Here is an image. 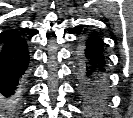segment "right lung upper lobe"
Returning a JSON list of instances; mask_svg holds the SVG:
<instances>
[{"label": "right lung upper lobe", "mask_w": 133, "mask_h": 118, "mask_svg": "<svg viewBox=\"0 0 133 118\" xmlns=\"http://www.w3.org/2000/svg\"><path fill=\"white\" fill-rule=\"evenodd\" d=\"M1 36H2L1 37V42H2L1 48L7 47V46L15 43L19 39H21L15 31L4 32L1 34Z\"/></svg>", "instance_id": "obj_1"}]
</instances>
